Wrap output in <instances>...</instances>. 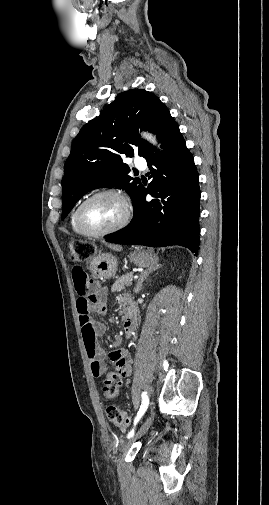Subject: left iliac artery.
<instances>
[{
    "label": "left iliac artery",
    "instance_id": "44dca946",
    "mask_svg": "<svg viewBox=\"0 0 269 505\" xmlns=\"http://www.w3.org/2000/svg\"><path fill=\"white\" fill-rule=\"evenodd\" d=\"M142 404L140 406V409L134 419V425H133V428L130 430V432L127 434V438L130 439L133 435H134V432H135V427L137 425V423L140 421L141 417L143 416V414L145 413L148 405H149V398H148V395L146 392H142Z\"/></svg>",
    "mask_w": 269,
    "mask_h": 505
}]
</instances>
